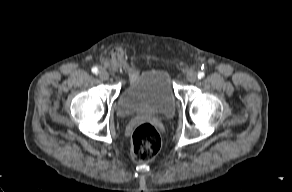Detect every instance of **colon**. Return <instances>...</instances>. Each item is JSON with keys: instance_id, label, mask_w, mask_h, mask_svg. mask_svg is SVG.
Instances as JSON below:
<instances>
[{"instance_id": "colon-1", "label": "colon", "mask_w": 292, "mask_h": 192, "mask_svg": "<svg viewBox=\"0 0 292 192\" xmlns=\"http://www.w3.org/2000/svg\"><path fill=\"white\" fill-rule=\"evenodd\" d=\"M161 137L156 127L150 123H141L132 133V159L136 163L151 161L160 151Z\"/></svg>"}]
</instances>
